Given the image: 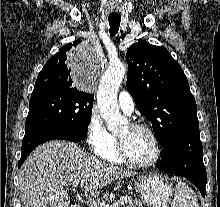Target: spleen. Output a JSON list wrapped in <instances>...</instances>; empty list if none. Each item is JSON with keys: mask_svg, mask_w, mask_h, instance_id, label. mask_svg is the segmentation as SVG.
Instances as JSON below:
<instances>
[{"mask_svg": "<svg viewBox=\"0 0 220 207\" xmlns=\"http://www.w3.org/2000/svg\"><path fill=\"white\" fill-rule=\"evenodd\" d=\"M172 207H198V200L193 190L184 182H178Z\"/></svg>", "mask_w": 220, "mask_h": 207, "instance_id": "spleen-1", "label": "spleen"}]
</instances>
